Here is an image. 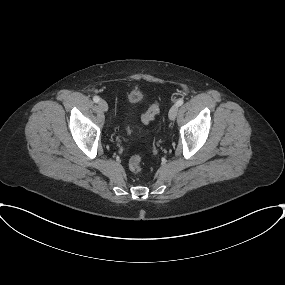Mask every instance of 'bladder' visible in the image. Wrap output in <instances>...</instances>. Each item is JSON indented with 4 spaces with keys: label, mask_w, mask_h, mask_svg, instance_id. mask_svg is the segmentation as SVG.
I'll return each instance as SVG.
<instances>
[{
    "label": "bladder",
    "mask_w": 285,
    "mask_h": 285,
    "mask_svg": "<svg viewBox=\"0 0 285 285\" xmlns=\"http://www.w3.org/2000/svg\"><path fill=\"white\" fill-rule=\"evenodd\" d=\"M140 98H141V94L138 91H132L128 95V100L131 103L137 102ZM127 132H128V134H131V130L130 129H128Z\"/></svg>",
    "instance_id": "1"
}]
</instances>
